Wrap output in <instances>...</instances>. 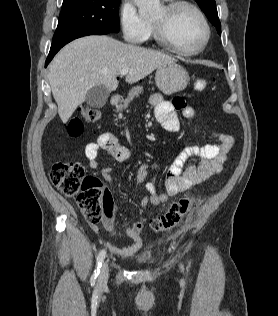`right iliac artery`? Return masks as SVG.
I'll list each match as a JSON object with an SVG mask.
<instances>
[{"label": "right iliac artery", "instance_id": "right-iliac-artery-1", "mask_svg": "<svg viewBox=\"0 0 278 316\" xmlns=\"http://www.w3.org/2000/svg\"><path fill=\"white\" fill-rule=\"evenodd\" d=\"M105 256H106V252H105V250H102V251L99 253L98 257H97L96 268H95L94 273H93V275H92V277H91V282H92V283L95 282L97 276H98L99 273H100V268H101L102 263H103V261H104V259H105Z\"/></svg>", "mask_w": 278, "mask_h": 316}]
</instances>
